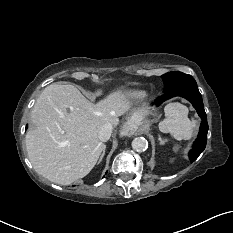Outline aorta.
I'll list each match as a JSON object with an SVG mask.
<instances>
[{"label":"aorta","instance_id":"obj_1","mask_svg":"<svg viewBox=\"0 0 233 233\" xmlns=\"http://www.w3.org/2000/svg\"><path fill=\"white\" fill-rule=\"evenodd\" d=\"M132 148L137 152H143L148 148V141L144 137H136L132 141Z\"/></svg>","mask_w":233,"mask_h":233}]
</instances>
